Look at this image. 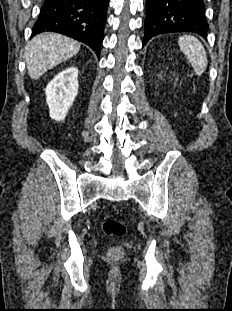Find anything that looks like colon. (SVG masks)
<instances>
[{
  "mask_svg": "<svg viewBox=\"0 0 232 311\" xmlns=\"http://www.w3.org/2000/svg\"><path fill=\"white\" fill-rule=\"evenodd\" d=\"M103 232L108 236H123L127 229L125 225L116 219H105L102 223ZM124 256V249L121 246H112L107 251L110 260H120Z\"/></svg>",
  "mask_w": 232,
  "mask_h": 311,
  "instance_id": "obj_1",
  "label": "colon"
}]
</instances>
